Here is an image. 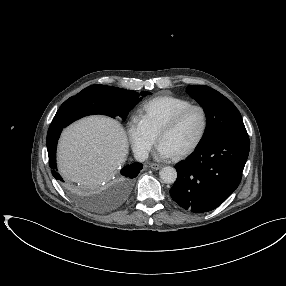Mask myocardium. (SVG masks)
Instances as JSON below:
<instances>
[{"mask_svg": "<svg viewBox=\"0 0 286 286\" xmlns=\"http://www.w3.org/2000/svg\"><path fill=\"white\" fill-rule=\"evenodd\" d=\"M194 109H197L202 113L203 126L201 129V132H200L199 136L197 137V139L193 142V144H191L186 149L175 153L174 154L175 157H183V156L189 155V154L193 153L201 145V143L203 142V140L207 134L208 127H209V116H208L207 110L199 104H191V105L181 109L177 113H175L170 119H168L160 127V129L157 133V140H158V142H160L161 137L163 136L164 133H166L167 131L174 128L190 111H192Z\"/></svg>", "mask_w": 286, "mask_h": 286, "instance_id": "1", "label": "myocardium"}]
</instances>
